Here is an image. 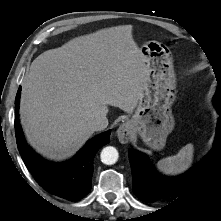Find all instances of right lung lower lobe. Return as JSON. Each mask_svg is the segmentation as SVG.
<instances>
[{
	"label": "right lung lower lobe",
	"mask_w": 221,
	"mask_h": 221,
	"mask_svg": "<svg viewBox=\"0 0 221 221\" xmlns=\"http://www.w3.org/2000/svg\"><path fill=\"white\" fill-rule=\"evenodd\" d=\"M20 95L21 86L15 99V132L18 150L26 167L39 185L49 193L70 201L80 200L91 188L95 154L109 142L111 131L92 138L70 161L48 162L36 154L25 141L19 120Z\"/></svg>",
	"instance_id": "1"
}]
</instances>
